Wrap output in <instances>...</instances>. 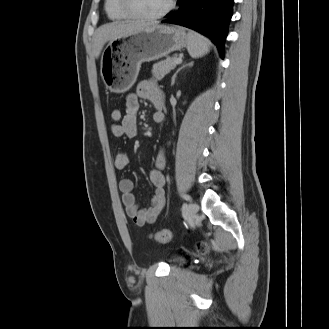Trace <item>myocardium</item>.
Returning <instances> with one entry per match:
<instances>
[{
  "instance_id": "myocardium-1",
  "label": "myocardium",
  "mask_w": 329,
  "mask_h": 329,
  "mask_svg": "<svg viewBox=\"0 0 329 329\" xmlns=\"http://www.w3.org/2000/svg\"><path fill=\"white\" fill-rule=\"evenodd\" d=\"M119 5L122 9V11L130 18L142 22H154L157 20H160L167 16L174 8L175 6V0H169L167 6L158 14L152 15V16H146L142 15L139 12H137L132 4L131 0H119Z\"/></svg>"
}]
</instances>
